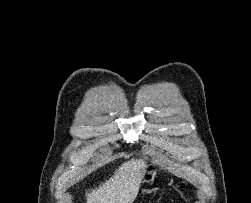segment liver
<instances>
[{"label":"liver","mask_w":251,"mask_h":203,"mask_svg":"<svg viewBox=\"0 0 251 203\" xmlns=\"http://www.w3.org/2000/svg\"><path fill=\"white\" fill-rule=\"evenodd\" d=\"M147 164L131 159L119 166L108 181L87 193V203H132L137 197Z\"/></svg>","instance_id":"6515ba94"}]
</instances>
